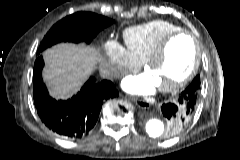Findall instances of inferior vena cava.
<instances>
[{"instance_id":"602c4592","label":"inferior vena cava","mask_w":240,"mask_h":160,"mask_svg":"<svg viewBox=\"0 0 240 160\" xmlns=\"http://www.w3.org/2000/svg\"><path fill=\"white\" fill-rule=\"evenodd\" d=\"M100 75L107 79H113L118 75V70L114 66L104 65L100 68Z\"/></svg>"}]
</instances>
